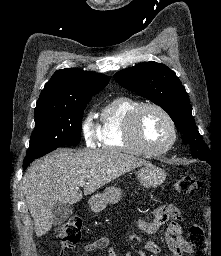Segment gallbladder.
<instances>
[{
	"mask_svg": "<svg viewBox=\"0 0 221 256\" xmlns=\"http://www.w3.org/2000/svg\"><path fill=\"white\" fill-rule=\"evenodd\" d=\"M53 224L61 225L64 223L72 214V206L65 203H55L53 210Z\"/></svg>",
	"mask_w": 221,
	"mask_h": 256,
	"instance_id": "1",
	"label": "gallbladder"
}]
</instances>
